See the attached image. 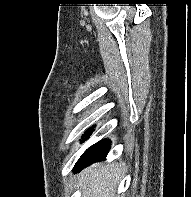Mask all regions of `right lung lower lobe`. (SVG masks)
<instances>
[{
    "instance_id": "right-lung-lower-lobe-1",
    "label": "right lung lower lobe",
    "mask_w": 191,
    "mask_h": 197,
    "mask_svg": "<svg viewBox=\"0 0 191 197\" xmlns=\"http://www.w3.org/2000/svg\"><path fill=\"white\" fill-rule=\"evenodd\" d=\"M93 130L94 129L91 127L87 132H85L84 134L85 137H82L81 141H86L91 135ZM110 144H111L110 140L104 139L92 145L84 152L81 158L77 161L74 167V171L78 172L82 168L96 161H100L104 159L107 156L108 151L110 150Z\"/></svg>"
}]
</instances>
